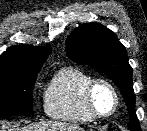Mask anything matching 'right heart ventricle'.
Segmentation results:
<instances>
[{"mask_svg": "<svg viewBox=\"0 0 147 131\" xmlns=\"http://www.w3.org/2000/svg\"><path fill=\"white\" fill-rule=\"evenodd\" d=\"M93 77L78 67L59 69L49 81L44 93V109L53 120L88 124L93 119L84 102V91Z\"/></svg>", "mask_w": 147, "mask_h": 131, "instance_id": "e07e8e85", "label": "right heart ventricle"}]
</instances>
